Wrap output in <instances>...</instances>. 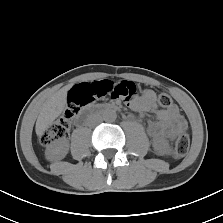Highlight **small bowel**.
Wrapping results in <instances>:
<instances>
[{"mask_svg":"<svg viewBox=\"0 0 223 223\" xmlns=\"http://www.w3.org/2000/svg\"><path fill=\"white\" fill-rule=\"evenodd\" d=\"M129 106L137 112L156 114L157 119L148 123V133L154 140H172L187 128V121L178 107L173 105L168 108H160L153 90H145L140 97L133 99Z\"/></svg>","mask_w":223,"mask_h":223,"instance_id":"c3829d8e","label":"small bowel"}]
</instances>
